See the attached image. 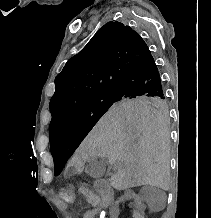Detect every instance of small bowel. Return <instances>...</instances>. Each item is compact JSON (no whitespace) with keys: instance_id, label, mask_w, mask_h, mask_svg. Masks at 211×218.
<instances>
[{"instance_id":"small-bowel-1","label":"small bowel","mask_w":211,"mask_h":218,"mask_svg":"<svg viewBox=\"0 0 211 218\" xmlns=\"http://www.w3.org/2000/svg\"><path fill=\"white\" fill-rule=\"evenodd\" d=\"M80 190L84 194L87 202L92 205L89 209L84 211L82 218H96L104 208L103 202L99 199L96 192L87 185H83ZM132 217L145 218V212L140 207L135 208L132 212Z\"/></svg>"}]
</instances>
